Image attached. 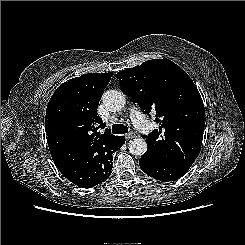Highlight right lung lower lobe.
Masks as SVG:
<instances>
[{
	"label": "right lung lower lobe",
	"mask_w": 245,
	"mask_h": 245,
	"mask_svg": "<svg viewBox=\"0 0 245 245\" xmlns=\"http://www.w3.org/2000/svg\"><path fill=\"white\" fill-rule=\"evenodd\" d=\"M125 143V138L120 136L117 141L105 146L97 147L89 162L91 170L96 174L95 181L91 185L84 186L80 179L79 172L73 166H57L59 171L72 183L83 187L91 188L106 180L111 175L112 170V154L119 150Z\"/></svg>",
	"instance_id": "98d812e1"
}]
</instances>
